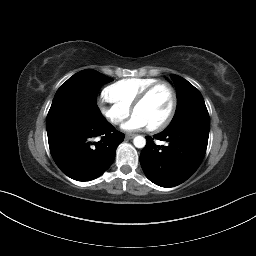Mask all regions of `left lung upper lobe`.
Instances as JSON below:
<instances>
[{"mask_svg":"<svg viewBox=\"0 0 256 256\" xmlns=\"http://www.w3.org/2000/svg\"><path fill=\"white\" fill-rule=\"evenodd\" d=\"M170 76L178 99L175 115L164 131L174 130L183 125H194L209 130V114L199 90L178 75Z\"/></svg>","mask_w":256,"mask_h":256,"instance_id":"obj_1","label":"left lung upper lobe"}]
</instances>
